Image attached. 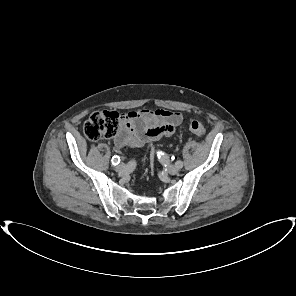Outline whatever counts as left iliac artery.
Returning a JSON list of instances; mask_svg holds the SVG:
<instances>
[{"instance_id":"left-iliac-artery-1","label":"left iliac artery","mask_w":296,"mask_h":296,"mask_svg":"<svg viewBox=\"0 0 296 296\" xmlns=\"http://www.w3.org/2000/svg\"><path fill=\"white\" fill-rule=\"evenodd\" d=\"M158 157H159V159L160 158H163L164 157V153L158 152ZM175 165L178 166L179 168H182L183 167V162L181 160H179V161H177L175 163Z\"/></svg>"}]
</instances>
